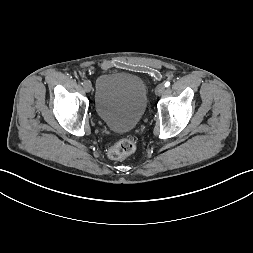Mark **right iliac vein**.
Instances as JSON below:
<instances>
[{
    "instance_id": "obj_1",
    "label": "right iliac vein",
    "mask_w": 253,
    "mask_h": 253,
    "mask_svg": "<svg viewBox=\"0 0 253 253\" xmlns=\"http://www.w3.org/2000/svg\"><path fill=\"white\" fill-rule=\"evenodd\" d=\"M83 88L88 93L92 90V85L89 81H86L85 84L83 85Z\"/></svg>"
}]
</instances>
